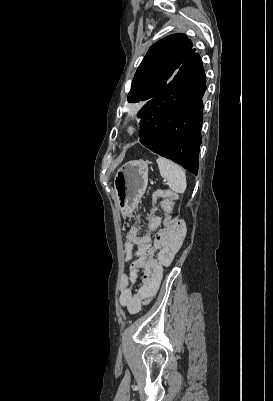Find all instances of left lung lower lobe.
<instances>
[{
  "mask_svg": "<svg viewBox=\"0 0 273 401\" xmlns=\"http://www.w3.org/2000/svg\"><path fill=\"white\" fill-rule=\"evenodd\" d=\"M206 78L192 49L170 82L138 112L140 143L197 175Z\"/></svg>",
  "mask_w": 273,
  "mask_h": 401,
  "instance_id": "obj_1",
  "label": "left lung lower lobe"
}]
</instances>
